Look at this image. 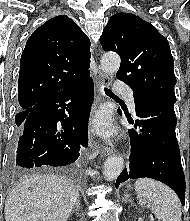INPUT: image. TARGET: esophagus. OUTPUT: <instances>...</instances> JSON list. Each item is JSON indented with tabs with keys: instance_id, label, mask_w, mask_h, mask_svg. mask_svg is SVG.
Returning a JSON list of instances; mask_svg holds the SVG:
<instances>
[{
	"instance_id": "34e87169",
	"label": "esophagus",
	"mask_w": 190,
	"mask_h": 221,
	"mask_svg": "<svg viewBox=\"0 0 190 221\" xmlns=\"http://www.w3.org/2000/svg\"><path fill=\"white\" fill-rule=\"evenodd\" d=\"M110 82L111 81H110L109 76L100 71L99 76H98V82H97L99 93H102V87L109 86ZM100 152H101V155L107 156V155L112 154L113 150L109 147L102 146Z\"/></svg>"
}]
</instances>
